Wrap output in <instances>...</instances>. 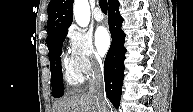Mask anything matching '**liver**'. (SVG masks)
<instances>
[{
    "mask_svg": "<svg viewBox=\"0 0 193 112\" xmlns=\"http://www.w3.org/2000/svg\"><path fill=\"white\" fill-rule=\"evenodd\" d=\"M53 112H102V106L95 95L83 93L57 101Z\"/></svg>",
    "mask_w": 193,
    "mask_h": 112,
    "instance_id": "6515ba94",
    "label": "liver"
}]
</instances>
